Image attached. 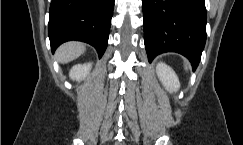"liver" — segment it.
<instances>
[{
  "label": "liver",
  "instance_id": "1",
  "mask_svg": "<svg viewBox=\"0 0 243 145\" xmlns=\"http://www.w3.org/2000/svg\"><path fill=\"white\" fill-rule=\"evenodd\" d=\"M85 46L79 42H68L61 45L56 51V57L60 63H68L78 58L85 52Z\"/></svg>",
  "mask_w": 243,
  "mask_h": 145
}]
</instances>
